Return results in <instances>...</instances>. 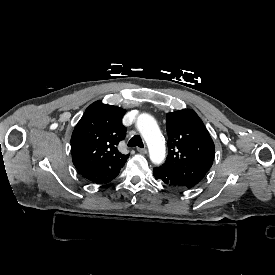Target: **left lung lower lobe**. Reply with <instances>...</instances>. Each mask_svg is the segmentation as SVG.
<instances>
[{
    "mask_svg": "<svg viewBox=\"0 0 275 275\" xmlns=\"http://www.w3.org/2000/svg\"><path fill=\"white\" fill-rule=\"evenodd\" d=\"M153 175L165 187L178 191L188 189L174 174L162 166L154 168Z\"/></svg>",
    "mask_w": 275,
    "mask_h": 275,
    "instance_id": "0a47b994",
    "label": "left lung lower lobe"
}]
</instances>
